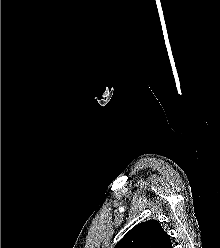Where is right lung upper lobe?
<instances>
[{
  "label": "right lung upper lobe",
  "instance_id": "cb5924a9",
  "mask_svg": "<svg viewBox=\"0 0 220 248\" xmlns=\"http://www.w3.org/2000/svg\"><path fill=\"white\" fill-rule=\"evenodd\" d=\"M170 236L156 220L133 227L114 248H171Z\"/></svg>",
  "mask_w": 220,
  "mask_h": 248
}]
</instances>
